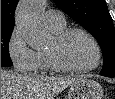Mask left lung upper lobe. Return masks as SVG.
<instances>
[{
    "label": "left lung upper lobe",
    "mask_w": 115,
    "mask_h": 99,
    "mask_svg": "<svg viewBox=\"0 0 115 99\" xmlns=\"http://www.w3.org/2000/svg\"><path fill=\"white\" fill-rule=\"evenodd\" d=\"M98 41L104 59L101 75L115 77V29L105 0H54Z\"/></svg>",
    "instance_id": "obj_1"
}]
</instances>
